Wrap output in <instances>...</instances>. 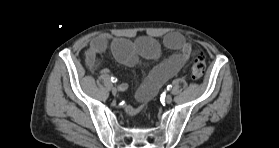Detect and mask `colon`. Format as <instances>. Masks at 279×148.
<instances>
[{"label": "colon", "instance_id": "colon-1", "mask_svg": "<svg viewBox=\"0 0 279 148\" xmlns=\"http://www.w3.org/2000/svg\"><path fill=\"white\" fill-rule=\"evenodd\" d=\"M206 62L203 52L198 51L194 55V61L191 68V78L194 81L200 80L205 72Z\"/></svg>", "mask_w": 279, "mask_h": 148}]
</instances>
